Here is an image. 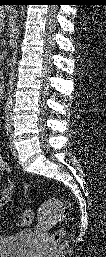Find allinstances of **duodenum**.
I'll use <instances>...</instances> for the list:
<instances>
[{
    "instance_id": "duodenum-1",
    "label": "duodenum",
    "mask_w": 106,
    "mask_h": 257,
    "mask_svg": "<svg viewBox=\"0 0 106 257\" xmlns=\"http://www.w3.org/2000/svg\"><path fill=\"white\" fill-rule=\"evenodd\" d=\"M0 90L2 91V85L0 86Z\"/></svg>"
}]
</instances>
